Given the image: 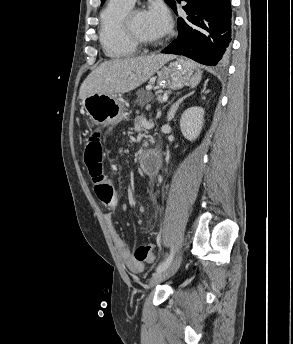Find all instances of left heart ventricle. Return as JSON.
<instances>
[{
  "mask_svg": "<svg viewBox=\"0 0 293 344\" xmlns=\"http://www.w3.org/2000/svg\"><path fill=\"white\" fill-rule=\"evenodd\" d=\"M132 29L141 38L148 41H158L160 36L156 35L148 26L145 13H137L132 18Z\"/></svg>",
  "mask_w": 293,
  "mask_h": 344,
  "instance_id": "left-heart-ventricle-1",
  "label": "left heart ventricle"
}]
</instances>
